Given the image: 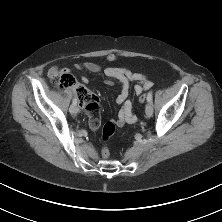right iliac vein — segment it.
I'll return each instance as SVG.
<instances>
[{
	"label": "right iliac vein",
	"mask_w": 222,
	"mask_h": 222,
	"mask_svg": "<svg viewBox=\"0 0 222 222\" xmlns=\"http://www.w3.org/2000/svg\"><path fill=\"white\" fill-rule=\"evenodd\" d=\"M69 111L71 114H77L78 113V108L76 106V104H72L69 108Z\"/></svg>",
	"instance_id": "obj_1"
}]
</instances>
